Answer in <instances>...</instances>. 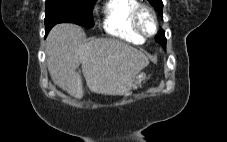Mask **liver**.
Here are the masks:
<instances>
[{"label": "liver", "mask_w": 227, "mask_h": 142, "mask_svg": "<svg viewBox=\"0 0 227 142\" xmlns=\"http://www.w3.org/2000/svg\"><path fill=\"white\" fill-rule=\"evenodd\" d=\"M83 29L75 24L54 26L46 39L49 74L54 84L81 99L82 73L91 92L124 95L131 89L136 76L149 65L144 53L120 40L99 38L84 41Z\"/></svg>", "instance_id": "1"}]
</instances>
